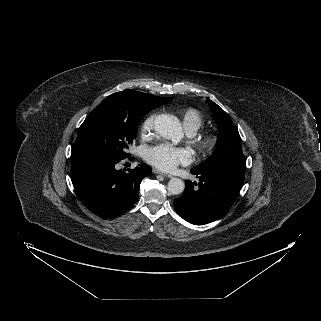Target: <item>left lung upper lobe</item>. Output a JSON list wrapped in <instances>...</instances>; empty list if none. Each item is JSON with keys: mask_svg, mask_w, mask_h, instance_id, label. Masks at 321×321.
I'll list each match as a JSON object with an SVG mask.
<instances>
[{"mask_svg": "<svg viewBox=\"0 0 321 321\" xmlns=\"http://www.w3.org/2000/svg\"><path fill=\"white\" fill-rule=\"evenodd\" d=\"M207 102L219 127L218 139L212 155L195 169H202L228 161H245L242 151V140L237 127L228 114L216 103L209 99H207Z\"/></svg>", "mask_w": 321, "mask_h": 321, "instance_id": "left-lung-upper-lobe-1", "label": "left lung upper lobe"}]
</instances>
